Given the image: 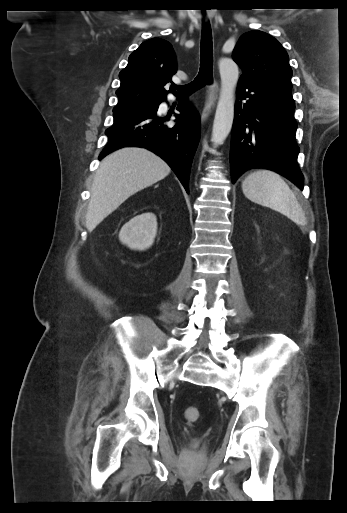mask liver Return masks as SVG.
I'll return each instance as SVG.
<instances>
[{
    "instance_id": "6515ba94",
    "label": "liver",
    "mask_w": 347,
    "mask_h": 513,
    "mask_svg": "<svg viewBox=\"0 0 347 513\" xmlns=\"http://www.w3.org/2000/svg\"><path fill=\"white\" fill-rule=\"evenodd\" d=\"M170 171L165 161L145 148H121L106 156L94 177L87 229L92 231L130 196L164 179Z\"/></svg>"
}]
</instances>
